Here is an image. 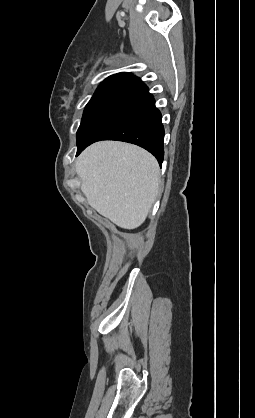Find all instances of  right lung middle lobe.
Masks as SVG:
<instances>
[{"instance_id": "1", "label": "right lung middle lobe", "mask_w": 255, "mask_h": 418, "mask_svg": "<svg viewBox=\"0 0 255 418\" xmlns=\"http://www.w3.org/2000/svg\"><path fill=\"white\" fill-rule=\"evenodd\" d=\"M124 88L113 85H100L91 100L85 107L80 127L77 131V141L82 136L88 124L98 111L116 94L121 92Z\"/></svg>"}]
</instances>
